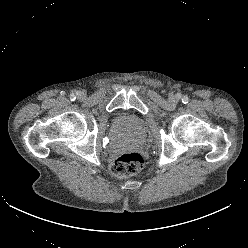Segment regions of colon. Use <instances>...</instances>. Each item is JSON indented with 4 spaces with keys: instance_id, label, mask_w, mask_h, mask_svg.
Instances as JSON below:
<instances>
[{
    "instance_id": "5ec220e1",
    "label": "colon",
    "mask_w": 248,
    "mask_h": 248,
    "mask_svg": "<svg viewBox=\"0 0 248 248\" xmlns=\"http://www.w3.org/2000/svg\"><path fill=\"white\" fill-rule=\"evenodd\" d=\"M144 158L139 153H128L116 158L110 171L116 177H130L140 173L144 167Z\"/></svg>"
}]
</instances>
